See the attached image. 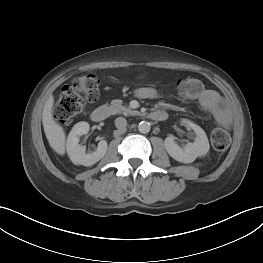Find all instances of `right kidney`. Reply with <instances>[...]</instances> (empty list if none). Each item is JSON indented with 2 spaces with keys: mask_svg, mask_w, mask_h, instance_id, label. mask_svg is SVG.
I'll return each mask as SVG.
<instances>
[{
  "mask_svg": "<svg viewBox=\"0 0 263 263\" xmlns=\"http://www.w3.org/2000/svg\"><path fill=\"white\" fill-rule=\"evenodd\" d=\"M90 125L85 121L78 122L74 125L67 138L66 150L70 160L75 165L91 166L104 157L107 152L106 140L98 143L97 150L93 153L86 154L85 147L79 144L80 137L89 132Z\"/></svg>",
  "mask_w": 263,
  "mask_h": 263,
  "instance_id": "1",
  "label": "right kidney"
}]
</instances>
